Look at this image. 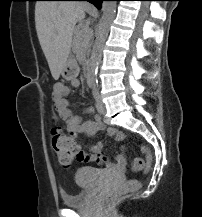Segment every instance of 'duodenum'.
<instances>
[{
	"instance_id": "410a0bca",
	"label": "duodenum",
	"mask_w": 202,
	"mask_h": 217,
	"mask_svg": "<svg viewBox=\"0 0 202 217\" xmlns=\"http://www.w3.org/2000/svg\"><path fill=\"white\" fill-rule=\"evenodd\" d=\"M87 81H88L89 85H92L94 82L93 74H92L91 70L87 71Z\"/></svg>"
}]
</instances>
